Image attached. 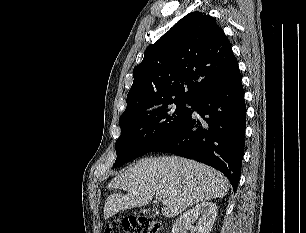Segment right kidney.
Wrapping results in <instances>:
<instances>
[{"mask_svg": "<svg viewBox=\"0 0 306 233\" xmlns=\"http://www.w3.org/2000/svg\"><path fill=\"white\" fill-rule=\"evenodd\" d=\"M217 206L213 202H201L185 213L174 223L172 233H210L217 216ZM198 220L197 226L193 223Z\"/></svg>", "mask_w": 306, "mask_h": 233, "instance_id": "1", "label": "right kidney"}]
</instances>
